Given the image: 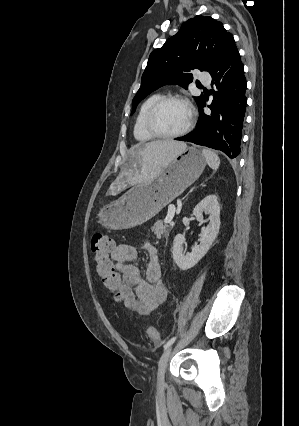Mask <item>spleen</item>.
<instances>
[{
    "instance_id": "spleen-1",
    "label": "spleen",
    "mask_w": 299,
    "mask_h": 426,
    "mask_svg": "<svg viewBox=\"0 0 299 426\" xmlns=\"http://www.w3.org/2000/svg\"><path fill=\"white\" fill-rule=\"evenodd\" d=\"M202 153L205 156L209 167H211L213 170H217L220 165V159L218 155L209 149H203Z\"/></svg>"
}]
</instances>
